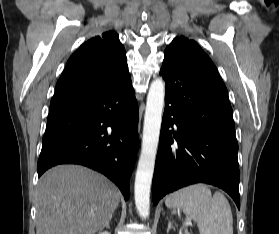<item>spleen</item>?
<instances>
[{
    "instance_id": "1",
    "label": "spleen",
    "mask_w": 279,
    "mask_h": 234,
    "mask_svg": "<svg viewBox=\"0 0 279 234\" xmlns=\"http://www.w3.org/2000/svg\"><path fill=\"white\" fill-rule=\"evenodd\" d=\"M165 204L181 209L197 222L200 234H233L232 212L226 197L216 192L212 196L204 184H196L170 194Z\"/></svg>"
}]
</instances>
